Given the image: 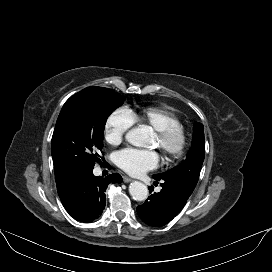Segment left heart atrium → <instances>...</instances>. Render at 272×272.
Masks as SVG:
<instances>
[{
	"label": "left heart atrium",
	"mask_w": 272,
	"mask_h": 272,
	"mask_svg": "<svg viewBox=\"0 0 272 272\" xmlns=\"http://www.w3.org/2000/svg\"><path fill=\"white\" fill-rule=\"evenodd\" d=\"M116 164L131 175H140L155 168L159 156L154 150L127 148L116 153Z\"/></svg>",
	"instance_id": "1"
}]
</instances>
